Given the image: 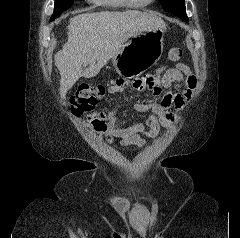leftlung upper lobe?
<instances>
[{
  "label": "left lung upper lobe",
  "instance_id": "5c2ea615",
  "mask_svg": "<svg viewBox=\"0 0 240 238\" xmlns=\"http://www.w3.org/2000/svg\"><path fill=\"white\" fill-rule=\"evenodd\" d=\"M162 7L176 16H178L183 21L188 22L189 19L186 15L185 1L184 0H160Z\"/></svg>",
  "mask_w": 240,
  "mask_h": 238
}]
</instances>
